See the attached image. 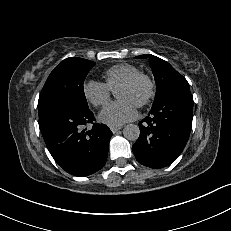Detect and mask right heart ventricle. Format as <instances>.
Returning <instances> with one entry per match:
<instances>
[{"instance_id":"1","label":"right heart ventricle","mask_w":231,"mask_h":231,"mask_svg":"<svg viewBox=\"0 0 231 231\" xmlns=\"http://www.w3.org/2000/svg\"><path fill=\"white\" fill-rule=\"evenodd\" d=\"M139 72L136 66L128 63H121L108 68L103 73V78L106 86L110 90H115L121 83Z\"/></svg>"}]
</instances>
